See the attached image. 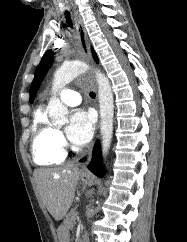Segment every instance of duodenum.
<instances>
[{"label":"duodenum","instance_id":"duodenum-1","mask_svg":"<svg viewBox=\"0 0 187 242\" xmlns=\"http://www.w3.org/2000/svg\"><path fill=\"white\" fill-rule=\"evenodd\" d=\"M79 242H87L86 238H83L82 240H80Z\"/></svg>","mask_w":187,"mask_h":242}]
</instances>
